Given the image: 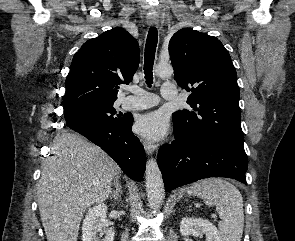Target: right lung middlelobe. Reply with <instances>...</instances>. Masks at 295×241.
Here are the masks:
<instances>
[{"label":"right lung middle lobe","mask_w":295,"mask_h":241,"mask_svg":"<svg viewBox=\"0 0 295 241\" xmlns=\"http://www.w3.org/2000/svg\"><path fill=\"white\" fill-rule=\"evenodd\" d=\"M67 126L83 121L99 120L116 124H123L128 119V115L116 113L113 103L86 106L64 112Z\"/></svg>","instance_id":"1"}]
</instances>
